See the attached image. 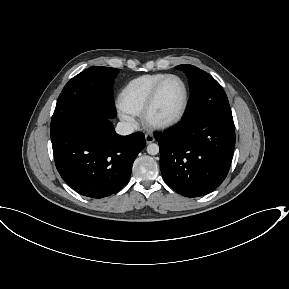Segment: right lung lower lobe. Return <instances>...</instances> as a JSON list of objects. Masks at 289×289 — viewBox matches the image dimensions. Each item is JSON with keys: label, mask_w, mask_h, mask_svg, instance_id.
Segmentation results:
<instances>
[{"label": "right lung lower lobe", "mask_w": 289, "mask_h": 289, "mask_svg": "<svg viewBox=\"0 0 289 289\" xmlns=\"http://www.w3.org/2000/svg\"><path fill=\"white\" fill-rule=\"evenodd\" d=\"M109 119L88 113L51 138L62 179L87 197H107L122 189L130 179L136 156L146 145L140 132L116 134Z\"/></svg>", "instance_id": "right-lung-lower-lobe-1"}]
</instances>
